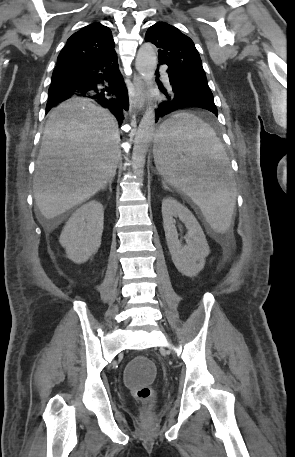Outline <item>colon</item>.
<instances>
[{"mask_svg":"<svg viewBox=\"0 0 295 457\" xmlns=\"http://www.w3.org/2000/svg\"><path fill=\"white\" fill-rule=\"evenodd\" d=\"M124 374L125 383H128L133 396L143 404L144 417H148L154 401L152 380L158 375L155 363H152L151 357H135L134 363H129Z\"/></svg>","mask_w":295,"mask_h":457,"instance_id":"5ec220e1","label":"colon"}]
</instances>
